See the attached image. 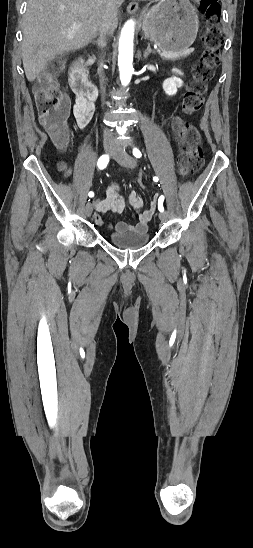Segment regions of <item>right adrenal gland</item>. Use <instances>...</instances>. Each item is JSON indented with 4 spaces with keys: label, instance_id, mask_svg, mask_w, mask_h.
<instances>
[{
    "label": "right adrenal gland",
    "instance_id": "1",
    "mask_svg": "<svg viewBox=\"0 0 253 548\" xmlns=\"http://www.w3.org/2000/svg\"><path fill=\"white\" fill-rule=\"evenodd\" d=\"M93 45H96L99 49H103L106 46L105 40H97L92 43Z\"/></svg>",
    "mask_w": 253,
    "mask_h": 548
}]
</instances>
